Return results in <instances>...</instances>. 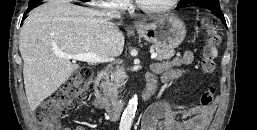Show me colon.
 <instances>
[{"label": "colon", "mask_w": 257, "mask_h": 130, "mask_svg": "<svg viewBox=\"0 0 257 130\" xmlns=\"http://www.w3.org/2000/svg\"><path fill=\"white\" fill-rule=\"evenodd\" d=\"M209 42L204 48L201 68L204 73L211 74L216 69L214 47L220 43L221 33L214 25H208ZM93 72L88 68L80 69L66 81L47 101L35 109L34 116L43 130H70L61 128V119L73 104L93 87ZM215 86L210 85L200 96L202 107L212 105Z\"/></svg>", "instance_id": "1"}]
</instances>
